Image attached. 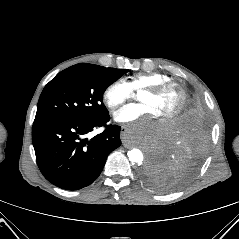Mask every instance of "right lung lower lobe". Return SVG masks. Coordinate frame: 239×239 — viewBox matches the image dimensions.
<instances>
[{
  "label": "right lung lower lobe",
  "instance_id": "obj_1",
  "mask_svg": "<svg viewBox=\"0 0 239 239\" xmlns=\"http://www.w3.org/2000/svg\"><path fill=\"white\" fill-rule=\"evenodd\" d=\"M109 113L95 120L38 118L34 120L32 141L38 167L57 187L77 190L93 183L107 156L121 145V127L109 125L88 139L94 128L105 126Z\"/></svg>",
  "mask_w": 239,
  "mask_h": 239
}]
</instances>
